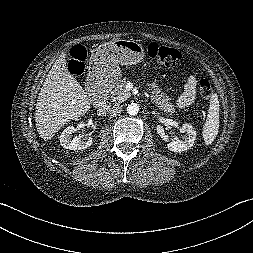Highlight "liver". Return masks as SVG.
I'll return each instance as SVG.
<instances>
[{
    "label": "liver",
    "mask_w": 253,
    "mask_h": 253,
    "mask_svg": "<svg viewBox=\"0 0 253 253\" xmlns=\"http://www.w3.org/2000/svg\"><path fill=\"white\" fill-rule=\"evenodd\" d=\"M66 54L49 71L35 107L36 128L41 138L51 139L67 122L87 113L91 97L68 72Z\"/></svg>",
    "instance_id": "6515ba94"
}]
</instances>
